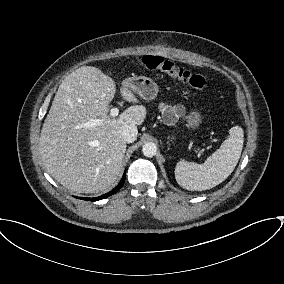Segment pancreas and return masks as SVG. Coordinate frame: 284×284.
<instances>
[{
  "instance_id": "cf45deb5",
  "label": "pancreas",
  "mask_w": 284,
  "mask_h": 284,
  "mask_svg": "<svg viewBox=\"0 0 284 284\" xmlns=\"http://www.w3.org/2000/svg\"><path fill=\"white\" fill-rule=\"evenodd\" d=\"M159 109L162 112L164 122L168 125H173L174 123H176L177 118L179 116H181V113L184 111L183 106L177 105V106L172 107V106H169V105H165L164 103H161L159 105ZM168 113H172L175 116V118L173 120L167 119L166 116H167Z\"/></svg>"
}]
</instances>
